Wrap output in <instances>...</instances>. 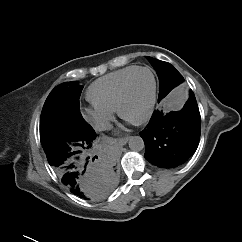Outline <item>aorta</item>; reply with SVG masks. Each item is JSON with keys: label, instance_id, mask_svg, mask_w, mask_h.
I'll list each match as a JSON object with an SVG mask.
<instances>
[{"label": "aorta", "instance_id": "762f6f07", "mask_svg": "<svg viewBox=\"0 0 242 242\" xmlns=\"http://www.w3.org/2000/svg\"><path fill=\"white\" fill-rule=\"evenodd\" d=\"M129 148L134 152H139L144 149L145 144L140 136H131L128 142Z\"/></svg>", "mask_w": 242, "mask_h": 242}]
</instances>
